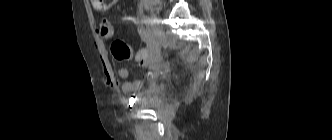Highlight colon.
I'll return each mask as SVG.
<instances>
[{"instance_id":"obj_1","label":"colon","mask_w":332,"mask_h":140,"mask_svg":"<svg viewBox=\"0 0 332 140\" xmlns=\"http://www.w3.org/2000/svg\"><path fill=\"white\" fill-rule=\"evenodd\" d=\"M114 0H109L113 2ZM94 8L101 12L106 8V0H92ZM99 31L103 37H111L114 35V27L111 21L105 17L99 22ZM111 53L118 60H131L137 57L134 50L121 40H116L111 45Z\"/></svg>"}]
</instances>
